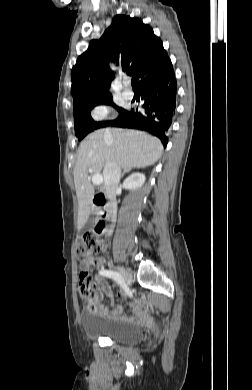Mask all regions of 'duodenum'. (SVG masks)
I'll return each mask as SVG.
<instances>
[{
    "label": "duodenum",
    "mask_w": 252,
    "mask_h": 390,
    "mask_svg": "<svg viewBox=\"0 0 252 390\" xmlns=\"http://www.w3.org/2000/svg\"><path fill=\"white\" fill-rule=\"evenodd\" d=\"M93 204L95 207L103 210V216L97 222L95 230L99 234H107L113 222V211L108 203L106 195L102 192H97L94 195Z\"/></svg>",
    "instance_id": "duodenum-1"
}]
</instances>
